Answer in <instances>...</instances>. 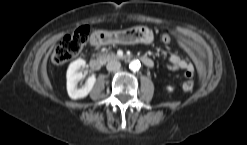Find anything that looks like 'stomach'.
<instances>
[{"label": "stomach", "instance_id": "1", "mask_svg": "<svg viewBox=\"0 0 247 145\" xmlns=\"http://www.w3.org/2000/svg\"><path fill=\"white\" fill-rule=\"evenodd\" d=\"M105 36V44H150L153 41V32L145 26H136L121 31L101 32Z\"/></svg>", "mask_w": 247, "mask_h": 145}]
</instances>
